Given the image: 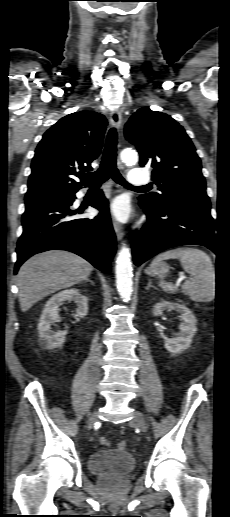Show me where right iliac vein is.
<instances>
[{"instance_id": "obj_1", "label": "right iliac vein", "mask_w": 230, "mask_h": 517, "mask_svg": "<svg viewBox=\"0 0 230 517\" xmlns=\"http://www.w3.org/2000/svg\"><path fill=\"white\" fill-rule=\"evenodd\" d=\"M98 419V411H94L90 418H89V421H88V429H91V427L93 426V424L97 421Z\"/></svg>"}]
</instances>
